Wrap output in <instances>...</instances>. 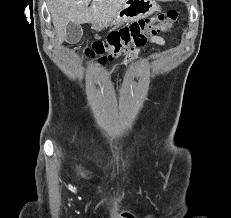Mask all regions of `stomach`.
I'll use <instances>...</instances> for the list:
<instances>
[{"mask_svg":"<svg viewBox=\"0 0 231 218\" xmlns=\"http://www.w3.org/2000/svg\"><path fill=\"white\" fill-rule=\"evenodd\" d=\"M158 8L155 0H126L116 16L108 23L93 24L92 28L101 31L109 26H120L137 21L153 14Z\"/></svg>","mask_w":231,"mask_h":218,"instance_id":"obj_1","label":"stomach"}]
</instances>
